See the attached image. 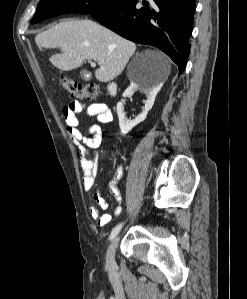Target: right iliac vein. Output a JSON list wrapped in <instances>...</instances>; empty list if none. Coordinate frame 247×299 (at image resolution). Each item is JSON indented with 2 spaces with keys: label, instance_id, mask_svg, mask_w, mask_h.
Returning a JSON list of instances; mask_svg holds the SVG:
<instances>
[{
  "label": "right iliac vein",
  "instance_id": "right-iliac-vein-1",
  "mask_svg": "<svg viewBox=\"0 0 247 299\" xmlns=\"http://www.w3.org/2000/svg\"><path fill=\"white\" fill-rule=\"evenodd\" d=\"M118 242H119V237H116L109 245L107 250L106 260L110 266V270H114V265H115L114 257H115L116 248L118 246Z\"/></svg>",
  "mask_w": 247,
  "mask_h": 299
}]
</instances>
